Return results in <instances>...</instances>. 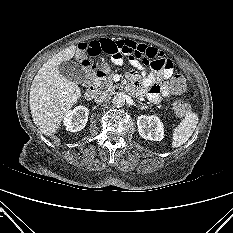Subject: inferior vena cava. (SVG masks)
<instances>
[{"label": "inferior vena cava", "instance_id": "602c4592", "mask_svg": "<svg viewBox=\"0 0 233 233\" xmlns=\"http://www.w3.org/2000/svg\"><path fill=\"white\" fill-rule=\"evenodd\" d=\"M110 97V94L106 93V92H99L95 95V102L96 103H103L106 102Z\"/></svg>", "mask_w": 233, "mask_h": 233}]
</instances>
